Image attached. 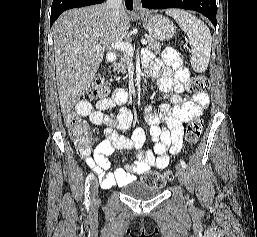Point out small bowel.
I'll return each instance as SVG.
<instances>
[{"label":"small bowel","mask_w":257,"mask_h":237,"mask_svg":"<svg viewBox=\"0 0 257 237\" xmlns=\"http://www.w3.org/2000/svg\"><path fill=\"white\" fill-rule=\"evenodd\" d=\"M150 73L158 78V87L163 92L174 91L170 103H162L157 112L151 106L145 108V121L149 125V135L154 142L153 150H144L145 131L138 127L131 137L121 132L129 129L132 121L131 111L122 106L116 97H105L95 107L81 100L76 105L77 114L88 118L90 122L104 128V139L93 136L97 142L94 148L86 142H77L78 154L84 158L90 168L98 175L104 188L124 186L136 174H143L152 169H164L168 166L170 156L178 154L183 145V124L195 117H200L203 109L209 105V96L196 92L191 99L183 98L182 94L189 90V72L173 49H166L162 59L147 62ZM119 106L116 113H106ZM115 150L131 151L134 162L124 168L110 171L108 159Z\"/></svg>","instance_id":"1"}]
</instances>
